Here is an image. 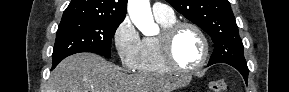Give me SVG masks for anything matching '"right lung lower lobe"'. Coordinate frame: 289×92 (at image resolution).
<instances>
[{"label":"right lung lower lobe","mask_w":289,"mask_h":92,"mask_svg":"<svg viewBox=\"0 0 289 92\" xmlns=\"http://www.w3.org/2000/svg\"><path fill=\"white\" fill-rule=\"evenodd\" d=\"M56 66H52V69L55 68Z\"/></svg>","instance_id":"1"}]
</instances>
